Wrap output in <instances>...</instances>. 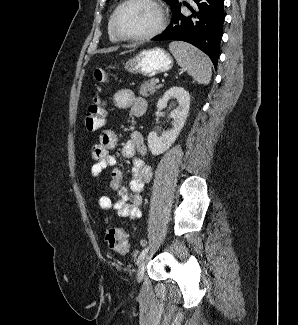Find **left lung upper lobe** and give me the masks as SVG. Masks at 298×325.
Here are the masks:
<instances>
[{"label":"left lung upper lobe","mask_w":298,"mask_h":325,"mask_svg":"<svg viewBox=\"0 0 298 325\" xmlns=\"http://www.w3.org/2000/svg\"><path fill=\"white\" fill-rule=\"evenodd\" d=\"M107 1H109V0H107ZM165 1H167V2L171 5V4L174 3L176 0H165Z\"/></svg>","instance_id":"5c2ea615"}]
</instances>
